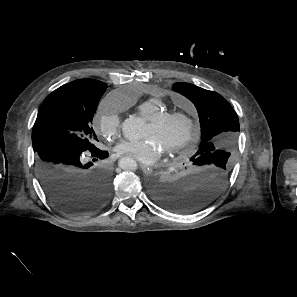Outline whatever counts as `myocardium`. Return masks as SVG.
<instances>
[{
    "instance_id": "f54148a6",
    "label": "myocardium",
    "mask_w": 297,
    "mask_h": 297,
    "mask_svg": "<svg viewBox=\"0 0 297 297\" xmlns=\"http://www.w3.org/2000/svg\"><path fill=\"white\" fill-rule=\"evenodd\" d=\"M182 120L187 124V131L184 137L169 146L165 151L167 154H176L185 150L196 137V126L190 115L183 112H164L149 120L150 124L156 128L164 126L169 121Z\"/></svg>"
}]
</instances>
